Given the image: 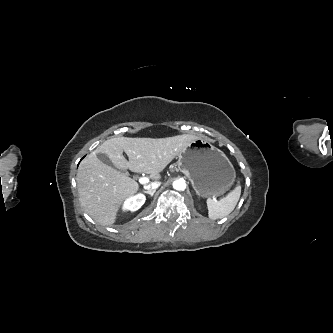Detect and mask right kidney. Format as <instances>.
Here are the masks:
<instances>
[{
  "label": "right kidney",
  "mask_w": 333,
  "mask_h": 333,
  "mask_svg": "<svg viewBox=\"0 0 333 333\" xmlns=\"http://www.w3.org/2000/svg\"><path fill=\"white\" fill-rule=\"evenodd\" d=\"M145 200L146 198L142 194L130 197L125 201L124 209L134 212L138 210L145 203Z\"/></svg>",
  "instance_id": "ca27d5eb"
}]
</instances>
